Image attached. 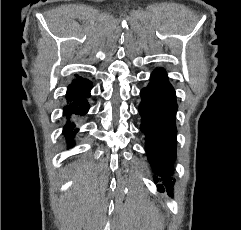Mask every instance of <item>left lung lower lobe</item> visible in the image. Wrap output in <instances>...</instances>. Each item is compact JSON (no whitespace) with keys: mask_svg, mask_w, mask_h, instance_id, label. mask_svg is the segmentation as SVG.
Here are the masks:
<instances>
[{"mask_svg":"<svg viewBox=\"0 0 241 230\" xmlns=\"http://www.w3.org/2000/svg\"><path fill=\"white\" fill-rule=\"evenodd\" d=\"M140 94V129L146 136V151L153 172L161 176L163 181L157 188L171 193L174 185L171 175L176 158L175 115L178 108L175 90L168 82L167 73L156 69L151 75L150 83ZM154 179L156 183L159 181L157 177Z\"/></svg>","mask_w":241,"mask_h":230,"instance_id":"1","label":"left lung lower lobe"}]
</instances>
